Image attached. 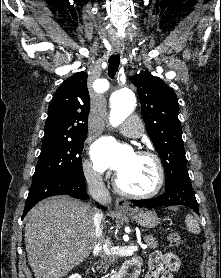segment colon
Returning a JSON list of instances; mask_svg holds the SVG:
<instances>
[{
    "mask_svg": "<svg viewBox=\"0 0 221 278\" xmlns=\"http://www.w3.org/2000/svg\"><path fill=\"white\" fill-rule=\"evenodd\" d=\"M169 241H170V244L175 247H178V248L184 247V241H183L182 237L180 236V234L177 232H172L169 234ZM184 278H196V276L192 271H187L184 274Z\"/></svg>",
    "mask_w": 221,
    "mask_h": 278,
    "instance_id": "1",
    "label": "colon"
}]
</instances>
